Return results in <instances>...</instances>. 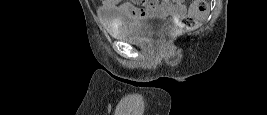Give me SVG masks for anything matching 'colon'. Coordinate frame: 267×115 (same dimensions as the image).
I'll list each match as a JSON object with an SVG mask.
<instances>
[{"instance_id": "1", "label": "colon", "mask_w": 267, "mask_h": 115, "mask_svg": "<svg viewBox=\"0 0 267 115\" xmlns=\"http://www.w3.org/2000/svg\"><path fill=\"white\" fill-rule=\"evenodd\" d=\"M204 9V3L202 1L194 0L191 1V10L189 14H187L185 17H183L179 23L178 26L173 27L166 31L163 38L169 39L174 38L181 34L184 30L193 29L196 24V15L200 12H202Z\"/></svg>"}]
</instances>
